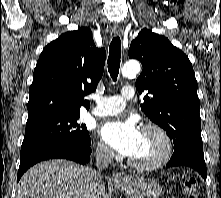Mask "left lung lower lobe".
Returning <instances> with one entry per match:
<instances>
[{"mask_svg": "<svg viewBox=\"0 0 221 198\" xmlns=\"http://www.w3.org/2000/svg\"><path fill=\"white\" fill-rule=\"evenodd\" d=\"M188 166L196 170L205 180L207 176L206 164L204 161L203 150L196 147L175 151L167 167Z\"/></svg>", "mask_w": 221, "mask_h": 198, "instance_id": "1", "label": "left lung lower lobe"}]
</instances>
